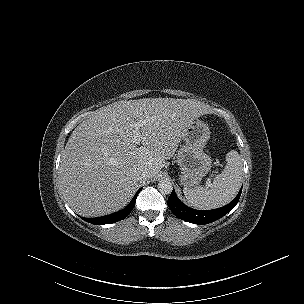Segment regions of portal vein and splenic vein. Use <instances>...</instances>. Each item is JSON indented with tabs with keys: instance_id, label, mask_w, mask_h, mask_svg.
I'll use <instances>...</instances> for the list:
<instances>
[{
	"instance_id": "18ae733b",
	"label": "portal vein and splenic vein",
	"mask_w": 304,
	"mask_h": 304,
	"mask_svg": "<svg viewBox=\"0 0 304 304\" xmlns=\"http://www.w3.org/2000/svg\"><path fill=\"white\" fill-rule=\"evenodd\" d=\"M144 125V122H136L133 124V127H134V136H133V143L138 145L140 142H141V135H140V132H139V129L141 126Z\"/></svg>"
}]
</instances>
